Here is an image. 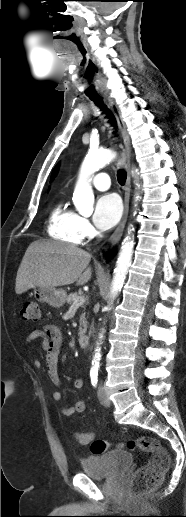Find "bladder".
<instances>
[{
    "instance_id": "31cf9c89",
    "label": "bladder",
    "mask_w": 186,
    "mask_h": 517,
    "mask_svg": "<svg viewBox=\"0 0 186 517\" xmlns=\"http://www.w3.org/2000/svg\"><path fill=\"white\" fill-rule=\"evenodd\" d=\"M133 456L125 450H113L93 455L81 461L84 474L95 479L120 476L131 465Z\"/></svg>"
}]
</instances>
